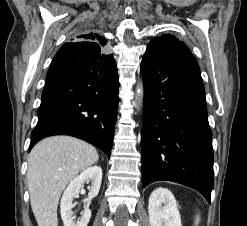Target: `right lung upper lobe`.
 Returning <instances> with one entry per match:
<instances>
[{"label":"right lung upper lobe","instance_id":"obj_1","mask_svg":"<svg viewBox=\"0 0 247 226\" xmlns=\"http://www.w3.org/2000/svg\"><path fill=\"white\" fill-rule=\"evenodd\" d=\"M76 38L78 39V41H84V42H88V43L99 44V45L103 46L104 48L107 44V40L103 36H101L97 33H93V32L82 33V34L78 35Z\"/></svg>","mask_w":247,"mask_h":226}]
</instances>
